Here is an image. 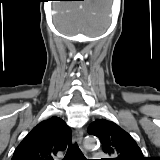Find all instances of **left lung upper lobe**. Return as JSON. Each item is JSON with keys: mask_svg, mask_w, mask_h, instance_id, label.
Listing matches in <instances>:
<instances>
[{"mask_svg": "<svg viewBox=\"0 0 160 160\" xmlns=\"http://www.w3.org/2000/svg\"><path fill=\"white\" fill-rule=\"evenodd\" d=\"M88 133L97 136L103 151L114 157L105 160H146L134 139L112 121L97 119Z\"/></svg>", "mask_w": 160, "mask_h": 160, "instance_id": "left-lung-upper-lobe-1", "label": "left lung upper lobe"}]
</instances>
